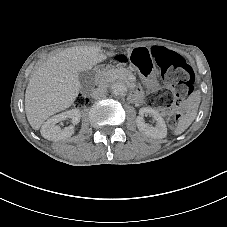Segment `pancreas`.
Here are the masks:
<instances>
[{
  "mask_svg": "<svg viewBox=\"0 0 227 227\" xmlns=\"http://www.w3.org/2000/svg\"><path fill=\"white\" fill-rule=\"evenodd\" d=\"M132 74V72L126 68H113L108 71H105L101 74L99 78V83L104 84L106 82H112L114 80H123L127 81L128 77Z\"/></svg>",
  "mask_w": 227,
  "mask_h": 227,
  "instance_id": "cf45deb5",
  "label": "pancreas"
}]
</instances>
